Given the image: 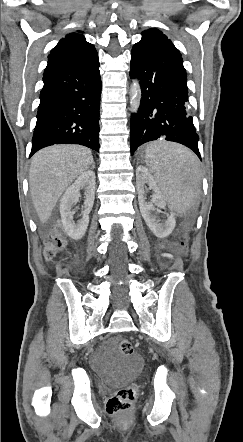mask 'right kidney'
I'll use <instances>...</instances> for the list:
<instances>
[{"mask_svg": "<svg viewBox=\"0 0 243 442\" xmlns=\"http://www.w3.org/2000/svg\"><path fill=\"white\" fill-rule=\"evenodd\" d=\"M85 190V201L82 218L77 223L73 221L75 211L72 206L78 202L80 190ZM95 196V173L91 170L83 172L76 181L65 191L60 200L62 224L67 234L75 240L81 239L89 224V213L92 210Z\"/></svg>", "mask_w": 243, "mask_h": 442, "instance_id": "obj_1", "label": "right kidney"}]
</instances>
